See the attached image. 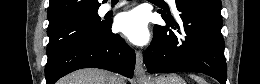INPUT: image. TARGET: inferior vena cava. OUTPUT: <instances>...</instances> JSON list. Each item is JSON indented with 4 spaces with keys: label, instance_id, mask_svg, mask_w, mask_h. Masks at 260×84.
<instances>
[{
    "label": "inferior vena cava",
    "instance_id": "1",
    "mask_svg": "<svg viewBox=\"0 0 260 84\" xmlns=\"http://www.w3.org/2000/svg\"><path fill=\"white\" fill-rule=\"evenodd\" d=\"M119 84H124L122 79H119Z\"/></svg>",
    "mask_w": 260,
    "mask_h": 84
}]
</instances>
